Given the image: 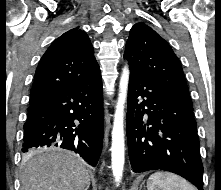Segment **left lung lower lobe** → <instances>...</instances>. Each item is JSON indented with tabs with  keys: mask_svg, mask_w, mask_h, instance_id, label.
I'll return each instance as SVG.
<instances>
[{
	"mask_svg": "<svg viewBox=\"0 0 221 190\" xmlns=\"http://www.w3.org/2000/svg\"><path fill=\"white\" fill-rule=\"evenodd\" d=\"M196 126L192 105L130 70L127 140L133 172H173L203 190Z\"/></svg>",
	"mask_w": 221,
	"mask_h": 190,
	"instance_id": "1",
	"label": "left lung lower lobe"
}]
</instances>
